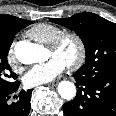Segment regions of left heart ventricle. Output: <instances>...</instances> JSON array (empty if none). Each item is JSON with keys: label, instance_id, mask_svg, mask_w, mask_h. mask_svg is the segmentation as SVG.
I'll list each match as a JSON object with an SVG mask.
<instances>
[{"label": "left heart ventricle", "instance_id": "obj_1", "mask_svg": "<svg viewBox=\"0 0 116 116\" xmlns=\"http://www.w3.org/2000/svg\"><path fill=\"white\" fill-rule=\"evenodd\" d=\"M52 56H58L68 64L77 56V46L73 40H67L57 51L49 48V57Z\"/></svg>", "mask_w": 116, "mask_h": 116}]
</instances>
